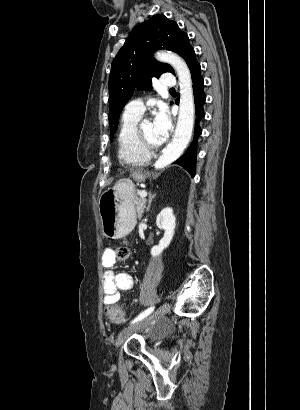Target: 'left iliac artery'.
Returning a JSON list of instances; mask_svg holds the SVG:
<instances>
[{
  "mask_svg": "<svg viewBox=\"0 0 300 410\" xmlns=\"http://www.w3.org/2000/svg\"><path fill=\"white\" fill-rule=\"evenodd\" d=\"M154 306L150 307L148 309H146L144 312H142L140 315H138L134 320H132L131 324H134L140 320H142L143 318L147 317L149 314H151L154 310Z\"/></svg>",
  "mask_w": 300,
  "mask_h": 410,
  "instance_id": "left-iliac-artery-1",
  "label": "left iliac artery"
}]
</instances>
